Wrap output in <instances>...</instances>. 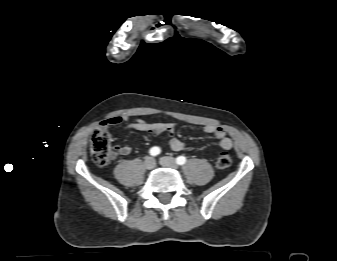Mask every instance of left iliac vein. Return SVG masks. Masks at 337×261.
I'll return each mask as SVG.
<instances>
[{
	"mask_svg": "<svg viewBox=\"0 0 337 261\" xmlns=\"http://www.w3.org/2000/svg\"><path fill=\"white\" fill-rule=\"evenodd\" d=\"M160 164L164 167L177 169L178 165L173 157H162L160 158Z\"/></svg>",
	"mask_w": 337,
	"mask_h": 261,
	"instance_id": "1",
	"label": "left iliac vein"
}]
</instances>
